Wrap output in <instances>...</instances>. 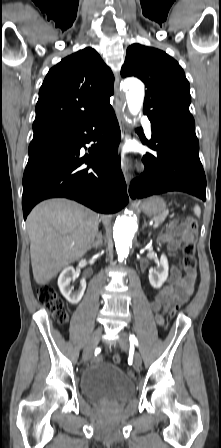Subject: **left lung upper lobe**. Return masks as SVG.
<instances>
[{
	"mask_svg": "<svg viewBox=\"0 0 221 448\" xmlns=\"http://www.w3.org/2000/svg\"><path fill=\"white\" fill-rule=\"evenodd\" d=\"M121 75L136 76L147 87L143 112L152 128L197 139L189 112V82L177 61L159 49L133 44L127 49Z\"/></svg>",
	"mask_w": 221,
	"mask_h": 448,
	"instance_id": "left-lung-upper-lobe-1",
	"label": "left lung upper lobe"
}]
</instances>
